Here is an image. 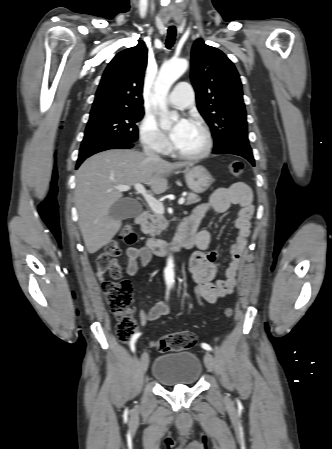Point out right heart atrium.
<instances>
[{"mask_svg": "<svg viewBox=\"0 0 332 449\" xmlns=\"http://www.w3.org/2000/svg\"><path fill=\"white\" fill-rule=\"evenodd\" d=\"M140 137L143 144L157 153L168 152L170 145L166 135L160 130L155 118L146 116L140 125Z\"/></svg>", "mask_w": 332, "mask_h": 449, "instance_id": "d8ad5b80", "label": "right heart atrium"}]
</instances>
